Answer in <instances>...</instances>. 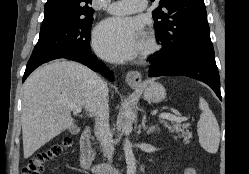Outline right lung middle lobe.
<instances>
[{"label": "right lung middle lobe", "instance_id": "dd1d6c3e", "mask_svg": "<svg viewBox=\"0 0 249 174\" xmlns=\"http://www.w3.org/2000/svg\"><path fill=\"white\" fill-rule=\"evenodd\" d=\"M93 17L41 27L39 40L29 60L49 52H89Z\"/></svg>", "mask_w": 249, "mask_h": 174}]
</instances>
